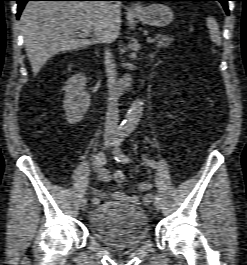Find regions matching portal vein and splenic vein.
I'll return each mask as SVG.
<instances>
[{
    "instance_id": "portal-vein-and-splenic-vein-1",
    "label": "portal vein and splenic vein",
    "mask_w": 247,
    "mask_h": 265,
    "mask_svg": "<svg viewBox=\"0 0 247 265\" xmlns=\"http://www.w3.org/2000/svg\"><path fill=\"white\" fill-rule=\"evenodd\" d=\"M87 37L90 36V33H87L86 35ZM156 41V39H148L147 42L148 43H154Z\"/></svg>"
}]
</instances>
